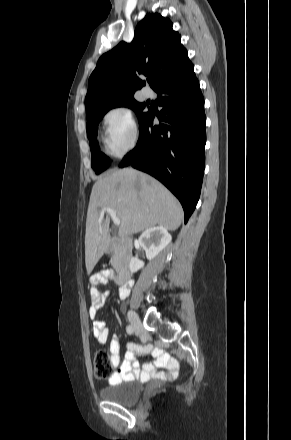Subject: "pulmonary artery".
Instances as JSON below:
<instances>
[{"mask_svg":"<svg viewBox=\"0 0 291 440\" xmlns=\"http://www.w3.org/2000/svg\"><path fill=\"white\" fill-rule=\"evenodd\" d=\"M142 94H143L144 97L150 98L152 93H151V90L149 88L145 87V88L142 89Z\"/></svg>","mask_w":291,"mask_h":440,"instance_id":"e3ab8cb5","label":"pulmonary artery"}]
</instances>
